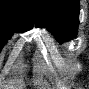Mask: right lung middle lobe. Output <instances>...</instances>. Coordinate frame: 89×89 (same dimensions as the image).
I'll return each mask as SVG.
<instances>
[{
	"label": "right lung middle lobe",
	"mask_w": 89,
	"mask_h": 89,
	"mask_svg": "<svg viewBox=\"0 0 89 89\" xmlns=\"http://www.w3.org/2000/svg\"><path fill=\"white\" fill-rule=\"evenodd\" d=\"M14 32H24V30L11 24L0 23V49H2L3 45L10 39Z\"/></svg>",
	"instance_id": "1"
}]
</instances>
